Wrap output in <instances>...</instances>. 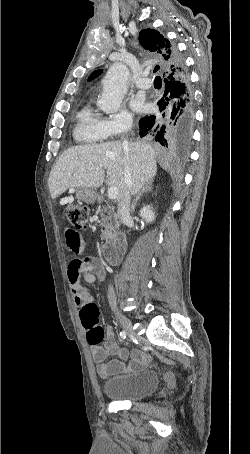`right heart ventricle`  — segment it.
Returning a JSON list of instances; mask_svg holds the SVG:
<instances>
[{"mask_svg":"<svg viewBox=\"0 0 250 454\" xmlns=\"http://www.w3.org/2000/svg\"><path fill=\"white\" fill-rule=\"evenodd\" d=\"M101 117L86 105L78 114L73 130L76 141L84 144L94 145L104 141L106 134L103 130Z\"/></svg>","mask_w":250,"mask_h":454,"instance_id":"1","label":"right heart ventricle"}]
</instances>
